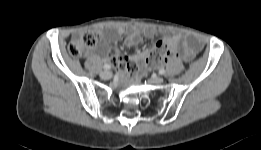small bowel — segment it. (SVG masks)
Returning a JSON list of instances; mask_svg holds the SVG:
<instances>
[{"label": "small bowel", "instance_id": "small-bowel-1", "mask_svg": "<svg viewBox=\"0 0 261 150\" xmlns=\"http://www.w3.org/2000/svg\"><path fill=\"white\" fill-rule=\"evenodd\" d=\"M125 33L122 27L112 29L106 36L105 40L99 45L97 52L99 55L107 56L109 54V44L116 42L120 36ZM159 33V30L153 26H131L126 31L125 45L127 47H135L143 37L153 38ZM168 46L176 51L182 45L184 57L190 59L200 49L201 43L194 38H183L179 34H174L166 40ZM148 51H140L131 55L130 57H123L116 53L112 55L120 73L127 71L133 78L140 76V71L143 68L144 60Z\"/></svg>", "mask_w": 261, "mask_h": 150}]
</instances>
